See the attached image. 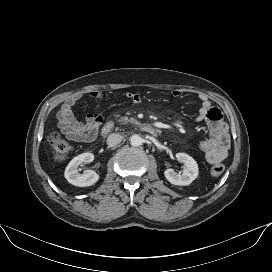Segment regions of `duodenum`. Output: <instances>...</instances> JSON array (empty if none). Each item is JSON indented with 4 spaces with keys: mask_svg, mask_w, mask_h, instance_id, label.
<instances>
[{
    "mask_svg": "<svg viewBox=\"0 0 272 272\" xmlns=\"http://www.w3.org/2000/svg\"><path fill=\"white\" fill-rule=\"evenodd\" d=\"M114 122L113 121H108L103 127H102V135H107L109 134L113 129H114ZM138 128L145 132V133H148L152 136H157L159 134L157 128H155L154 126L152 125H149V124H145V123H139L138 125Z\"/></svg>",
    "mask_w": 272,
    "mask_h": 272,
    "instance_id": "1",
    "label": "duodenum"
}]
</instances>
